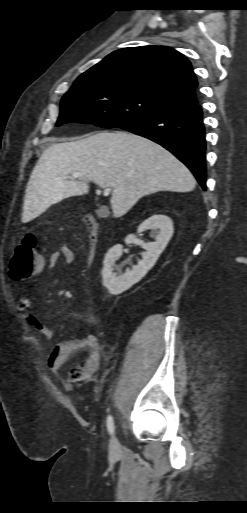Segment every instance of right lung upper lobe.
I'll return each instance as SVG.
<instances>
[{
    "mask_svg": "<svg viewBox=\"0 0 247 513\" xmlns=\"http://www.w3.org/2000/svg\"><path fill=\"white\" fill-rule=\"evenodd\" d=\"M82 88L126 89L158 100L168 108L197 102L190 61L164 46L124 48L106 56L74 82Z\"/></svg>",
    "mask_w": 247,
    "mask_h": 513,
    "instance_id": "right-lung-upper-lobe-1",
    "label": "right lung upper lobe"
}]
</instances>
